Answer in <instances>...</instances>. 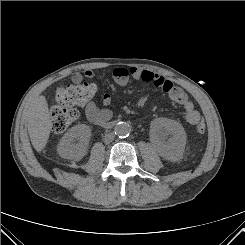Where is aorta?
Here are the masks:
<instances>
[{"mask_svg": "<svg viewBox=\"0 0 245 245\" xmlns=\"http://www.w3.org/2000/svg\"><path fill=\"white\" fill-rule=\"evenodd\" d=\"M114 132L119 137H126V136H128L130 134L131 127L126 122H119L114 127Z\"/></svg>", "mask_w": 245, "mask_h": 245, "instance_id": "762f6f07", "label": "aorta"}]
</instances>
